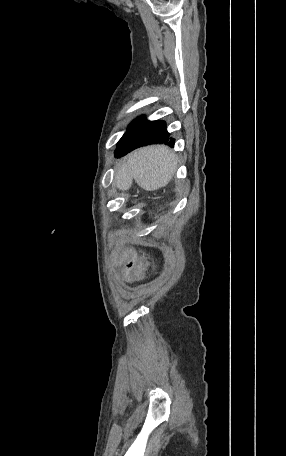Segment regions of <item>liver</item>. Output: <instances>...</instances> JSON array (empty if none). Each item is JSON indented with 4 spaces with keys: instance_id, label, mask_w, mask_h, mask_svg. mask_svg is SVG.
I'll return each mask as SVG.
<instances>
[{
    "instance_id": "6515ba94",
    "label": "liver",
    "mask_w": 286,
    "mask_h": 456,
    "mask_svg": "<svg viewBox=\"0 0 286 456\" xmlns=\"http://www.w3.org/2000/svg\"><path fill=\"white\" fill-rule=\"evenodd\" d=\"M177 169V158L165 145L139 148L116 170L115 182L120 190H128L133 180L144 190L154 191L166 186Z\"/></svg>"
}]
</instances>
